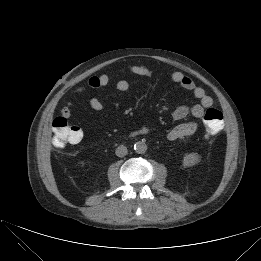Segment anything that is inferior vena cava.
<instances>
[{
  "label": "inferior vena cava",
  "instance_id": "obj_1",
  "mask_svg": "<svg viewBox=\"0 0 261 261\" xmlns=\"http://www.w3.org/2000/svg\"><path fill=\"white\" fill-rule=\"evenodd\" d=\"M115 153L118 157H124L128 153L127 147L120 145L116 148Z\"/></svg>",
  "mask_w": 261,
  "mask_h": 261
}]
</instances>
